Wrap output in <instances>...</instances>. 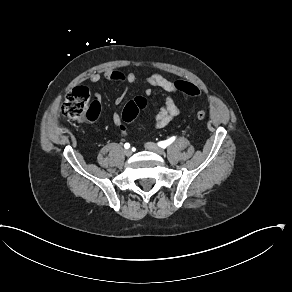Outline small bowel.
<instances>
[{
    "mask_svg": "<svg viewBox=\"0 0 292 292\" xmlns=\"http://www.w3.org/2000/svg\"><path fill=\"white\" fill-rule=\"evenodd\" d=\"M102 79L108 81H116L124 84H135L138 83L141 79L139 76L133 71H119L114 69H107L104 72H93L89 76V83L93 86L98 84ZM148 87L145 89L144 93L147 96H151L153 93V89H160L167 93L165 96L158 112L154 117L153 127L154 128H163L170 124L179 114L180 108L175 103L171 95H177L178 90L175 86V82L167 79L160 73H152L148 75L143 80ZM94 96L97 100L101 99V95L98 92H94ZM125 97V93L118 95L115 98V104L120 105ZM112 121L114 125L119 128V131L123 135L128 134L127 128L122 124L121 115L118 111H115L112 116Z\"/></svg>",
    "mask_w": 292,
    "mask_h": 292,
    "instance_id": "obj_1",
    "label": "small bowel"
}]
</instances>
